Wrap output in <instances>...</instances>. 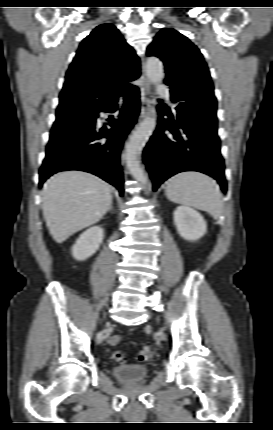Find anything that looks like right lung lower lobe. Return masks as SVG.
I'll return each mask as SVG.
<instances>
[{"label":"right lung lower lobe","mask_w":273,"mask_h":430,"mask_svg":"<svg viewBox=\"0 0 273 430\" xmlns=\"http://www.w3.org/2000/svg\"><path fill=\"white\" fill-rule=\"evenodd\" d=\"M120 95L90 106L91 118L86 126L50 137L46 158L39 172L40 187L56 172L82 170L101 177L123 195L120 151L140 110L138 88L135 86L122 92L125 104L120 110L119 119H113L109 124L111 129H98L96 126L98 113L114 112ZM104 138L108 140L100 142Z\"/></svg>","instance_id":"right-lung-lower-lobe-1"}]
</instances>
